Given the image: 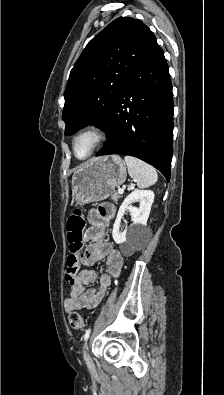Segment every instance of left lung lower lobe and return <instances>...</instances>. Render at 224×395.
<instances>
[{"mask_svg":"<svg viewBox=\"0 0 224 395\" xmlns=\"http://www.w3.org/2000/svg\"><path fill=\"white\" fill-rule=\"evenodd\" d=\"M169 68L156 44L131 74L103 130L96 156L126 154L157 168L169 181L173 155V99Z\"/></svg>","mask_w":224,"mask_h":395,"instance_id":"obj_1","label":"left lung lower lobe"}]
</instances>
